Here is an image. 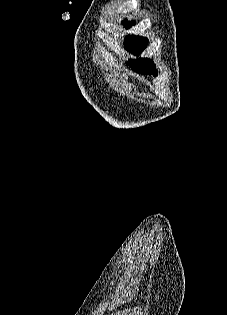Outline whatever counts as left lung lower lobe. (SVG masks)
Masks as SVG:
<instances>
[{
    "label": "left lung lower lobe",
    "instance_id": "1",
    "mask_svg": "<svg viewBox=\"0 0 227 315\" xmlns=\"http://www.w3.org/2000/svg\"><path fill=\"white\" fill-rule=\"evenodd\" d=\"M147 42L142 44L136 51H134V54L138 55L140 54L146 47ZM130 67L140 73H152L153 75L157 74V70L155 68V65L150 59L142 58L137 61H133V63H130Z\"/></svg>",
    "mask_w": 227,
    "mask_h": 315
}]
</instances>
